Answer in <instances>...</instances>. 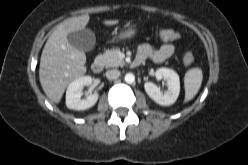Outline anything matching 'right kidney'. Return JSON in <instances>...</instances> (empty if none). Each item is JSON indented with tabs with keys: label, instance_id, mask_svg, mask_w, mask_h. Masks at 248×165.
<instances>
[{
	"label": "right kidney",
	"instance_id": "right-kidney-1",
	"mask_svg": "<svg viewBox=\"0 0 248 165\" xmlns=\"http://www.w3.org/2000/svg\"><path fill=\"white\" fill-rule=\"evenodd\" d=\"M92 84L91 76H83L72 81L66 91V106L72 110H86L94 106L99 98L97 92L87 96L86 98H81L83 93L82 90L84 86H89Z\"/></svg>",
	"mask_w": 248,
	"mask_h": 165
}]
</instances>
